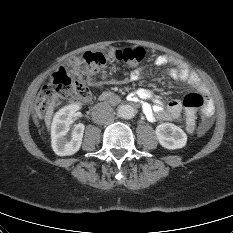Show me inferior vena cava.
<instances>
[{"label": "inferior vena cava", "mask_w": 233, "mask_h": 233, "mask_svg": "<svg viewBox=\"0 0 233 233\" xmlns=\"http://www.w3.org/2000/svg\"><path fill=\"white\" fill-rule=\"evenodd\" d=\"M92 119L97 124H109L114 120L113 108L106 102L93 107Z\"/></svg>", "instance_id": "602c4592"}]
</instances>
